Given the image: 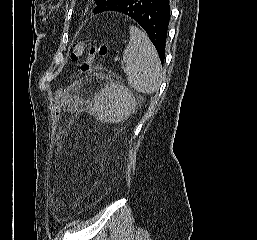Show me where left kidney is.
<instances>
[{
    "mask_svg": "<svg viewBox=\"0 0 257 240\" xmlns=\"http://www.w3.org/2000/svg\"><path fill=\"white\" fill-rule=\"evenodd\" d=\"M136 105L132 92L125 86L105 87L95 98V116L99 120L119 122L130 116Z\"/></svg>",
    "mask_w": 257,
    "mask_h": 240,
    "instance_id": "obj_1",
    "label": "left kidney"
}]
</instances>
